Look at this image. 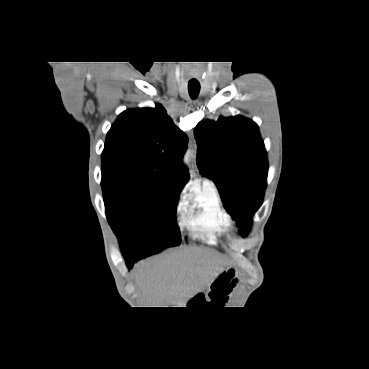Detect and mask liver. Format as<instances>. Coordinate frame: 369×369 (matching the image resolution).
Instances as JSON below:
<instances>
[{"mask_svg":"<svg viewBox=\"0 0 369 369\" xmlns=\"http://www.w3.org/2000/svg\"><path fill=\"white\" fill-rule=\"evenodd\" d=\"M221 258L206 249L188 247L136 266V282L147 307L183 305L222 270Z\"/></svg>","mask_w":369,"mask_h":369,"instance_id":"6515ba94","label":"liver"}]
</instances>
